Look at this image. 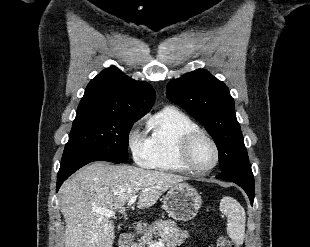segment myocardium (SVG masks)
<instances>
[{
  "label": "myocardium",
  "mask_w": 310,
  "mask_h": 247,
  "mask_svg": "<svg viewBox=\"0 0 310 247\" xmlns=\"http://www.w3.org/2000/svg\"><path fill=\"white\" fill-rule=\"evenodd\" d=\"M202 138L209 141L210 144L213 146L214 151H215V160L210 166L199 168L193 165L192 160H191V152H192V148L194 144L199 139H202ZM179 156H180L181 162L183 163L187 171L194 173V174H204V173L211 171L219 163L220 149L216 141L209 134L201 130H197V131H192L186 134L182 138L181 144H180Z\"/></svg>",
  "instance_id": "obj_1"
}]
</instances>
